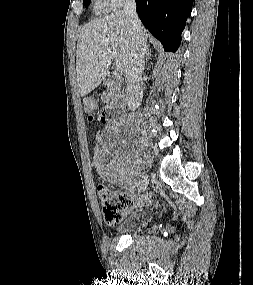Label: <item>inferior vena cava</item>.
I'll return each mask as SVG.
<instances>
[{
	"instance_id": "1",
	"label": "inferior vena cava",
	"mask_w": 253,
	"mask_h": 285,
	"mask_svg": "<svg viewBox=\"0 0 253 285\" xmlns=\"http://www.w3.org/2000/svg\"><path fill=\"white\" fill-rule=\"evenodd\" d=\"M123 12L131 25L133 36V45L125 70V79L129 96L128 107L134 111L141 105L143 97L142 73L145 63L146 43L143 26L137 16L135 0H126Z\"/></svg>"
}]
</instances>
